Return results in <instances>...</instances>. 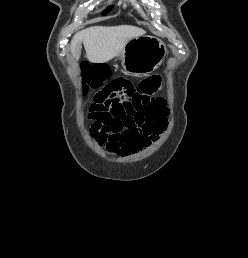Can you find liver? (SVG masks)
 I'll return each instance as SVG.
<instances>
[{
  "label": "liver",
  "mask_w": 248,
  "mask_h": 258,
  "mask_svg": "<svg viewBox=\"0 0 248 258\" xmlns=\"http://www.w3.org/2000/svg\"><path fill=\"white\" fill-rule=\"evenodd\" d=\"M145 33L143 29L130 25L94 26L76 33L71 40L70 50L73 57L78 60L83 43L90 62L106 63L120 55L128 41Z\"/></svg>",
  "instance_id": "6515ba94"
}]
</instances>
